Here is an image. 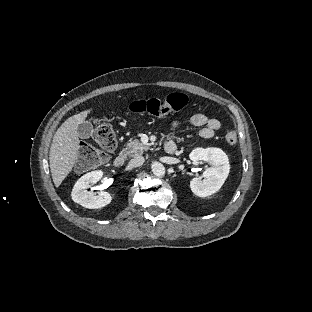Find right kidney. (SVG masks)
<instances>
[{
  "label": "right kidney",
  "mask_w": 312,
  "mask_h": 312,
  "mask_svg": "<svg viewBox=\"0 0 312 312\" xmlns=\"http://www.w3.org/2000/svg\"><path fill=\"white\" fill-rule=\"evenodd\" d=\"M103 176L101 170H96L83 175L75 183L71 196L72 200L81 206L89 209H98L108 205L112 197L108 192L87 191L91 184L97 183Z\"/></svg>",
  "instance_id": "right-kidney-1"
}]
</instances>
